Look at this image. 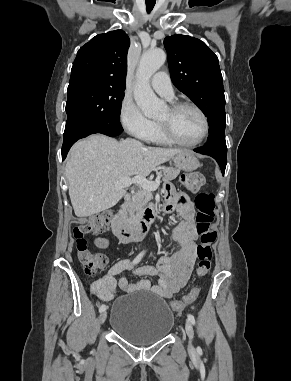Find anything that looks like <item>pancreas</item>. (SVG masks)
Returning <instances> with one entry per match:
<instances>
[{"label": "pancreas", "mask_w": 291, "mask_h": 381, "mask_svg": "<svg viewBox=\"0 0 291 381\" xmlns=\"http://www.w3.org/2000/svg\"><path fill=\"white\" fill-rule=\"evenodd\" d=\"M179 172L178 169L164 167L157 173V175L163 177V181L168 182L175 179ZM152 199L153 194L150 190L140 189L135 194L127 209V221L130 225L136 226L142 220L144 210Z\"/></svg>", "instance_id": "pancreas-1"}]
</instances>
